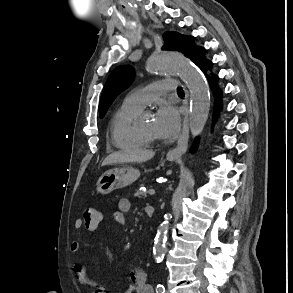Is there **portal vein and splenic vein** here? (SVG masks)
<instances>
[{
  "label": "portal vein and splenic vein",
  "mask_w": 293,
  "mask_h": 293,
  "mask_svg": "<svg viewBox=\"0 0 293 293\" xmlns=\"http://www.w3.org/2000/svg\"><path fill=\"white\" fill-rule=\"evenodd\" d=\"M148 194H149V195H154V194H155V189H150V190L148 191Z\"/></svg>",
  "instance_id": "portal-vein-and-splenic-vein-1"
}]
</instances>
